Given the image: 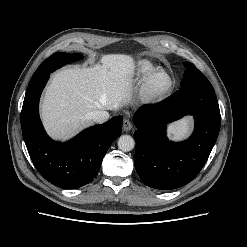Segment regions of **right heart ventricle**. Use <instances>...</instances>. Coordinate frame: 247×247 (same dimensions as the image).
I'll use <instances>...</instances> for the list:
<instances>
[{"instance_id": "e07e8e85", "label": "right heart ventricle", "mask_w": 247, "mask_h": 247, "mask_svg": "<svg viewBox=\"0 0 247 247\" xmlns=\"http://www.w3.org/2000/svg\"><path fill=\"white\" fill-rule=\"evenodd\" d=\"M157 69L152 63L148 61H143L139 63V65L136 68L135 76L139 80H143V78L152 70Z\"/></svg>"}]
</instances>
